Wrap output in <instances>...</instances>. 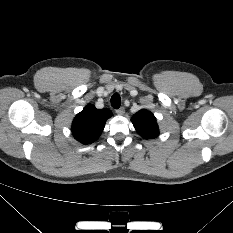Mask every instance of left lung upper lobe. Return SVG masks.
<instances>
[{
    "instance_id": "left-lung-upper-lobe-1",
    "label": "left lung upper lobe",
    "mask_w": 233,
    "mask_h": 233,
    "mask_svg": "<svg viewBox=\"0 0 233 233\" xmlns=\"http://www.w3.org/2000/svg\"><path fill=\"white\" fill-rule=\"evenodd\" d=\"M131 121L136 131L145 139L155 138L159 135L158 125L154 114L147 110H140L133 115Z\"/></svg>"
}]
</instances>
